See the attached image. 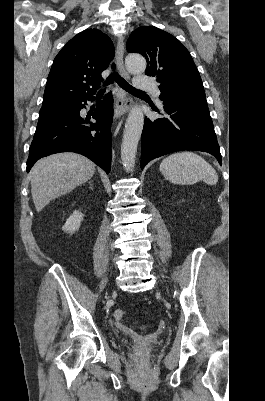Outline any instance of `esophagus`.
<instances>
[{"label": "esophagus", "mask_w": 265, "mask_h": 401, "mask_svg": "<svg viewBox=\"0 0 265 401\" xmlns=\"http://www.w3.org/2000/svg\"><path fill=\"white\" fill-rule=\"evenodd\" d=\"M115 58L117 62V67L121 77L129 80V73L124 67V39L122 36L118 38ZM132 104V99L126 96V93L122 88L117 87L116 99H115V109L114 116L119 118L124 115Z\"/></svg>", "instance_id": "esophagus-1"}]
</instances>
